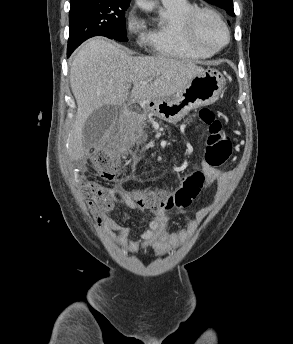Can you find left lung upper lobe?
<instances>
[{"label":"left lung upper lobe","mask_w":293,"mask_h":344,"mask_svg":"<svg viewBox=\"0 0 293 344\" xmlns=\"http://www.w3.org/2000/svg\"><path fill=\"white\" fill-rule=\"evenodd\" d=\"M206 2L223 9L229 16H234L232 0H205Z\"/></svg>","instance_id":"left-lung-upper-lobe-1"}]
</instances>
